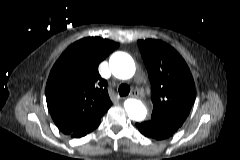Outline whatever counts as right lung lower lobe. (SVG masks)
Masks as SVG:
<instances>
[{"mask_svg": "<svg viewBox=\"0 0 240 160\" xmlns=\"http://www.w3.org/2000/svg\"><path fill=\"white\" fill-rule=\"evenodd\" d=\"M98 125H99V120L91 124H88L86 126L80 127L68 135L73 138H80L92 132L95 128L98 127Z\"/></svg>", "mask_w": 240, "mask_h": 160, "instance_id": "1", "label": "right lung lower lobe"}]
</instances>
